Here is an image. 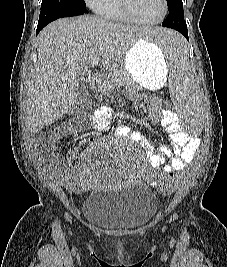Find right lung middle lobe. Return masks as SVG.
<instances>
[{
  "mask_svg": "<svg viewBox=\"0 0 227 267\" xmlns=\"http://www.w3.org/2000/svg\"><path fill=\"white\" fill-rule=\"evenodd\" d=\"M86 9L84 0H43L41 11L83 10Z\"/></svg>",
  "mask_w": 227,
  "mask_h": 267,
  "instance_id": "right-lung-middle-lobe-1",
  "label": "right lung middle lobe"
}]
</instances>
